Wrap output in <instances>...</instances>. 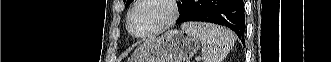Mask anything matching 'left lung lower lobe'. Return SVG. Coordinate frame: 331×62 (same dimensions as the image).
I'll list each match as a JSON object with an SVG mask.
<instances>
[{
	"label": "left lung lower lobe",
	"mask_w": 331,
	"mask_h": 62,
	"mask_svg": "<svg viewBox=\"0 0 331 62\" xmlns=\"http://www.w3.org/2000/svg\"><path fill=\"white\" fill-rule=\"evenodd\" d=\"M204 21L227 26L245 43L243 0H187L177 23Z\"/></svg>",
	"instance_id": "left-lung-lower-lobe-1"
}]
</instances>
